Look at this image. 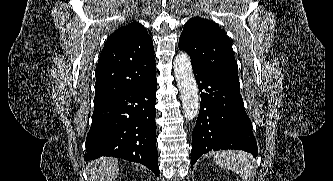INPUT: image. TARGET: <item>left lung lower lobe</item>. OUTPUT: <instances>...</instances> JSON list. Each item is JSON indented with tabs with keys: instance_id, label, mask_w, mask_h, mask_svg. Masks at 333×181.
<instances>
[{
	"instance_id": "1",
	"label": "left lung lower lobe",
	"mask_w": 333,
	"mask_h": 181,
	"mask_svg": "<svg viewBox=\"0 0 333 181\" xmlns=\"http://www.w3.org/2000/svg\"><path fill=\"white\" fill-rule=\"evenodd\" d=\"M201 92V104L192 134L191 166L211 150L237 149L258 155L252 123L247 116L240 87L193 67Z\"/></svg>"
}]
</instances>
